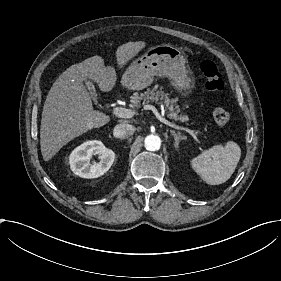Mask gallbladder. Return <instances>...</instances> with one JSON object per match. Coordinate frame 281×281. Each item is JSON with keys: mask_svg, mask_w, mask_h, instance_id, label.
<instances>
[{"mask_svg": "<svg viewBox=\"0 0 281 281\" xmlns=\"http://www.w3.org/2000/svg\"><path fill=\"white\" fill-rule=\"evenodd\" d=\"M85 83H86L87 88L90 91V94H91L93 100L97 101L98 94L96 92V89L94 88L93 83L90 80H86Z\"/></svg>", "mask_w": 281, "mask_h": 281, "instance_id": "bac80fb5", "label": "gallbladder"}]
</instances>
